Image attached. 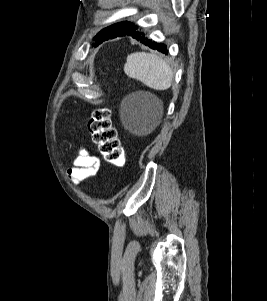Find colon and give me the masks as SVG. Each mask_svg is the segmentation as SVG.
I'll list each match as a JSON object with an SVG mask.
<instances>
[{
	"label": "colon",
	"mask_w": 267,
	"mask_h": 301,
	"mask_svg": "<svg viewBox=\"0 0 267 301\" xmlns=\"http://www.w3.org/2000/svg\"><path fill=\"white\" fill-rule=\"evenodd\" d=\"M88 130L104 159L118 167L126 163V156L111 122L110 111L99 108L92 112L88 120Z\"/></svg>",
	"instance_id": "colon-1"
}]
</instances>
